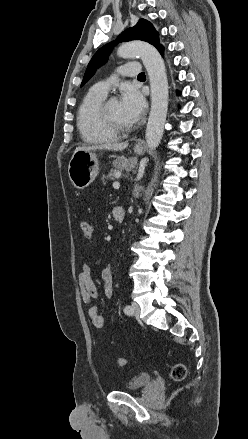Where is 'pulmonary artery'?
<instances>
[{
  "mask_svg": "<svg viewBox=\"0 0 248 439\" xmlns=\"http://www.w3.org/2000/svg\"><path fill=\"white\" fill-rule=\"evenodd\" d=\"M118 72L126 77L138 76L141 73L140 64L138 62H128L121 66ZM113 82L114 80L107 79L97 83L93 88L97 92L106 95Z\"/></svg>",
  "mask_w": 248,
  "mask_h": 439,
  "instance_id": "obj_1",
  "label": "pulmonary artery"
}]
</instances>
